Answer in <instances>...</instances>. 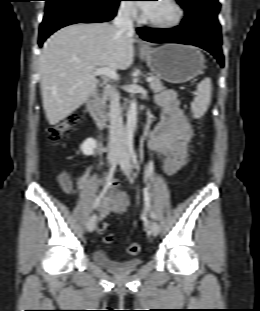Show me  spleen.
I'll list each match as a JSON object with an SVG mask.
<instances>
[{
	"label": "spleen",
	"instance_id": "3e777b00",
	"mask_svg": "<svg viewBox=\"0 0 260 311\" xmlns=\"http://www.w3.org/2000/svg\"><path fill=\"white\" fill-rule=\"evenodd\" d=\"M211 91L212 85L210 78H204L197 85L196 97L191 103V109L195 118H200L206 113L211 101Z\"/></svg>",
	"mask_w": 260,
	"mask_h": 311
}]
</instances>
